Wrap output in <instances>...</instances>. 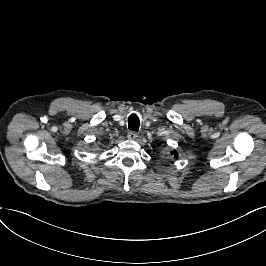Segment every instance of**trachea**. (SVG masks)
I'll return each mask as SVG.
<instances>
[{
    "label": "trachea",
    "mask_w": 266,
    "mask_h": 266,
    "mask_svg": "<svg viewBox=\"0 0 266 266\" xmlns=\"http://www.w3.org/2000/svg\"><path fill=\"white\" fill-rule=\"evenodd\" d=\"M128 127L130 130L138 131L139 129V118L136 114H132L128 118Z\"/></svg>",
    "instance_id": "1"
}]
</instances>
